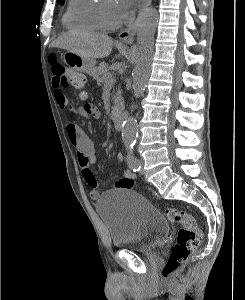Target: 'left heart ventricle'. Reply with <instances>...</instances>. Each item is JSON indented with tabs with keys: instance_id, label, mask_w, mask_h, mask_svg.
Wrapping results in <instances>:
<instances>
[{
	"instance_id": "1",
	"label": "left heart ventricle",
	"mask_w": 245,
	"mask_h": 300,
	"mask_svg": "<svg viewBox=\"0 0 245 300\" xmlns=\"http://www.w3.org/2000/svg\"><path fill=\"white\" fill-rule=\"evenodd\" d=\"M108 15L112 18V19H120L119 18V14L117 11V7H116V3L113 0H106L103 3Z\"/></svg>"
}]
</instances>
